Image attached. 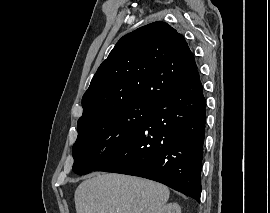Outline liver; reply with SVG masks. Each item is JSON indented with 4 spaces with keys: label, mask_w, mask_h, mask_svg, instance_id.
Returning <instances> with one entry per match:
<instances>
[{
    "label": "liver",
    "mask_w": 270,
    "mask_h": 213,
    "mask_svg": "<svg viewBox=\"0 0 270 213\" xmlns=\"http://www.w3.org/2000/svg\"><path fill=\"white\" fill-rule=\"evenodd\" d=\"M169 189L159 183L120 174H92L75 191L76 213H157Z\"/></svg>",
    "instance_id": "1"
}]
</instances>
